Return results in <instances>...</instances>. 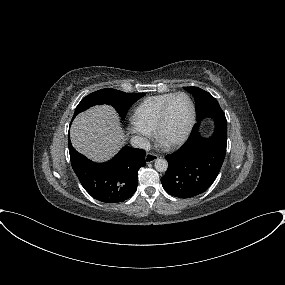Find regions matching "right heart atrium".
<instances>
[{
  "label": "right heart atrium",
  "mask_w": 285,
  "mask_h": 285,
  "mask_svg": "<svg viewBox=\"0 0 285 285\" xmlns=\"http://www.w3.org/2000/svg\"><path fill=\"white\" fill-rule=\"evenodd\" d=\"M129 128L141 143H146L152 136V130L144 127L133 119L130 120Z\"/></svg>",
  "instance_id": "d8ad5b80"
}]
</instances>
